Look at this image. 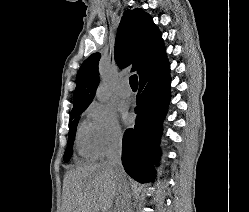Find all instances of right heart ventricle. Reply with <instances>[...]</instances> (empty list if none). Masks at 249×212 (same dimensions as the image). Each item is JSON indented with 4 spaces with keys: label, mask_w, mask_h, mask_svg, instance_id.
<instances>
[{
    "label": "right heart ventricle",
    "mask_w": 249,
    "mask_h": 212,
    "mask_svg": "<svg viewBox=\"0 0 249 212\" xmlns=\"http://www.w3.org/2000/svg\"><path fill=\"white\" fill-rule=\"evenodd\" d=\"M75 146L78 154L85 159L96 158L94 149L90 142V128L86 123H81L77 129Z\"/></svg>",
    "instance_id": "right-heart-ventricle-1"
}]
</instances>
